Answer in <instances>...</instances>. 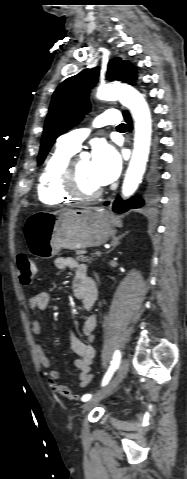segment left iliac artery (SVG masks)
<instances>
[{
  "label": "left iliac artery",
  "mask_w": 187,
  "mask_h": 479,
  "mask_svg": "<svg viewBox=\"0 0 187 479\" xmlns=\"http://www.w3.org/2000/svg\"><path fill=\"white\" fill-rule=\"evenodd\" d=\"M120 359H121V353L119 350H116L115 353H114V356H113V360L111 361V365L108 369V371L106 372L104 378H103V381H102V386H105L111 379L115 369L117 368L119 362H120ZM92 397L91 394H85L82 396L81 400L83 402H86L88 401L90 398Z\"/></svg>",
  "instance_id": "1"
}]
</instances>
